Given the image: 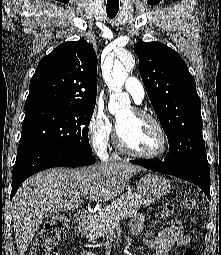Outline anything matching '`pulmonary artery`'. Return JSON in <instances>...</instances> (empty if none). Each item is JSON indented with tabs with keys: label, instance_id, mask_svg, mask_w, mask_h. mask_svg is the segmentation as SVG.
Returning <instances> with one entry per match:
<instances>
[{
	"label": "pulmonary artery",
	"instance_id": "e3ab8cb5",
	"mask_svg": "<svg viewBox=\"0 0 221 255\" xmlns=\"http://www.w3.org/2000/svg\"><path fill=\"white\" fill-rule=\"evenodd\" d=\"M124 88L133 97L135 102L140 103L144 100L145 90L138 79L134 77L128 78L124 84Z\"/></svg>",
	"mask_w": 221,
	"mask_h": 255
}]
</instances>
